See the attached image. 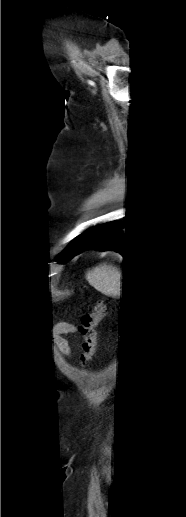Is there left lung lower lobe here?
<instances>
[{
  "mask_svg": "<svg viewBox=\"0 0 186 517\" xmlns=\"http://www.w3.org/2000/svg\"><path fill=\"white\" fill-rule=\"evenodd\" d=\"M125 238L119 234V226L116 223H105L94 227L89 240L74 254L77 255L87 249L113 250L127 256ZM73 256V257H74Z\"/></svg>",
  "mask_w": 186,
  "mask_h": 517,
  "instance_id": "left-lung-lower-lobe-1",
  "label": "left lung lower lobe"
}]
</instances>
